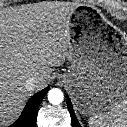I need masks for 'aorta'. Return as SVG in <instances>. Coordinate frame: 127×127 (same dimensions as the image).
<instances>
[{
  "instance_id": "762f6f07",
  "label": "aorta",
  "mask_w": 127,
  "mask_h": 127,
  "mask_svg": "<svg viewBox=\"0 0 127 127\" xmlns=\"http://www.w3.org/2000/svg\"><path fill=\"white\" fill-rule=\"evenodd\" d=\"M64 95L60 89H52L48 93V100L53 105H58L63 101Z\"/></svg>"
}]
</instances>
